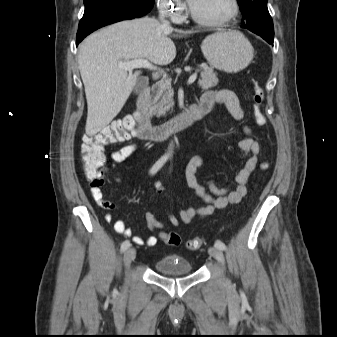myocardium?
Here are the masks:
<instances>
[{
  "label": "myocardium",
  "instance_id": "myocardium-1",
  "mask_svg": "<svg viewBox=\"0 0 337 337\" xmlns=\"http://www.w3.org/2000/svg\"><path fill=\"white\" fill-rule=\"evenodd\" d=\"M231 8L229 13L227 14L226 17L220 19V20H211L207 18H203L195 13L193 10L192 6L189 8V13L191 18L199 23L200 25L207 26V27H214V28H219V27H225L229 23H231L239 14L240 12V1L239 0H230Z\"/></svg>",
  "mask_w": 337,
  "mask_h": 337
}]
</instances>
